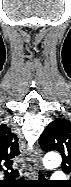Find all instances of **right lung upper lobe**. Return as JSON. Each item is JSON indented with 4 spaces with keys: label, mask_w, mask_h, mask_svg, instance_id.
I'll return each instance as SVG.
<instances>
[{
    "label": "right lung upper lobe",
    "mask_w": 71,
    "mask_h": 187,
    "mask_svg": "<svg viewBox=\"0 0 71 187\" xmlns=\"http://www.w3.org/2000/svg\"><path fill=\"white\" fill-rule=\"evenodd\" d=\"M19 154L18 137L5 124L0 125V158L4 165L11 169V173L15 175L17 172L13 171L12 166L15 157Z\"/></svg>",
    "instance_id": "right-lung-upper-lobe-1"
}]
</instances>
